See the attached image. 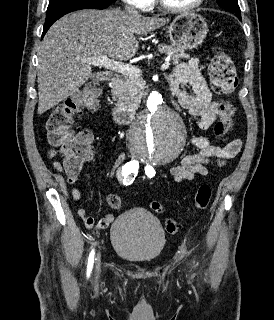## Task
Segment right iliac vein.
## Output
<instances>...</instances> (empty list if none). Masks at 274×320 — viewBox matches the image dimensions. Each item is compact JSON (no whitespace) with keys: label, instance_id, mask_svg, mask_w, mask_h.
<instances>
[{"label":"right iliac vein","instance_id":"right-iliac-vein-1","mask_svg":"<svg viewBox=\"0 0 274 320\" xmlns=\"http://www.w3.org/2000/svg\"><path fill=\"white\" fill-rule=\"evenodd\" d=\"M95 272H96V278L99 277L100 272H101V261H100V254L97 256L96 259V267H95Z\"/></svg>","mask_w":274,"mask_h":320}]
</instances>
